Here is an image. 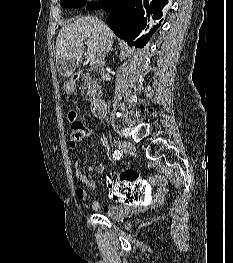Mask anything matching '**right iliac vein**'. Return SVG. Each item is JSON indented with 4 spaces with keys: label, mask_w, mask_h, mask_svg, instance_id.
<instances>
[{
    "label": "right iliac vein",
    "mask_w": 233,
    "mask_h": 263,
    "mask_svg": "<svg viewBox=\"0 0 233 263\" xmlns=\"http://www.w3.org/2000/svg\"><path fill=\"white\" fill-rule=\"evenodd\" d=\"M118 148L122 152L129 153V154H132L136 151L135 146L128 141H119L118 142Z\"/></svg>",
    "instance_id": "right-iliac-vein-1"
}]
</instances>
